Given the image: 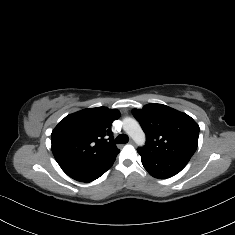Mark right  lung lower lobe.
<instances>
[{"label": "right lung lower lobe", "mask_w": 235, "mask_h": 235, "mask_svg": "<svg viewBox=\"0 0 235 235\" xmlns=\"http://www.w3.org/2000/svg\"><path fill=\"white\" fill-rule=\"evenodd\" d=\"M113 163L93 168H77L72 166H64L61 168L68 176L77 181L91 182L103 175Z\"/></svg>", "instance_id": "right-lung-lower-lobe-1"}]
</instances>
